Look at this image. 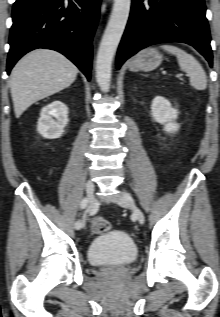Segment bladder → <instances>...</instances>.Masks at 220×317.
Instances as JSON below:
<instances>
[{
  "mask_svg": "<svg viewBox=\"0 0 220 317\" xmlns=\"http://www.w3.org/2000/svg\"><path fill=\"white\" fill-rule=\"evenodd\" d=\"M137 256L133 239L119 230L96 236L87 250L88 261L94 266H124L134 262Z\"/></svg>",
  "mask_w": 220,
  "mask_h": 317,
  "instance_id": "31cf9c89",
  "label": "bladder"
}]
</instances>
